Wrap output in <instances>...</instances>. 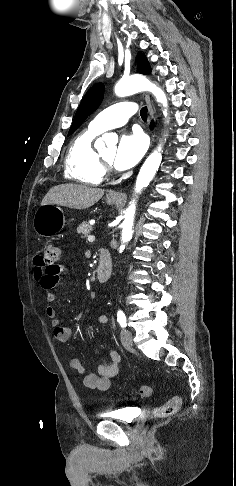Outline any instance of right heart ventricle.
<instances>
[{
	"mask_svg": "<svg viewBox=\"0 0 236 486\" xmlns=\"http://www.w3.org/2000/svg\"><path fill=\"white\" fill-rule=\"evenodd\" d=\"M98 134L88 128L72 140L65 157L64 174L67 179L85 185H99L103 181L105 174L98 153L92 146Z\"/></svg>",
	"mask_w": 236,
	"mask_h": 486,
	"instance_id": "obj_1",
	"label": "right heart ventricle"
}]
</instances>
